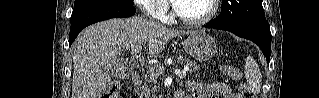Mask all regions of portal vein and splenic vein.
Masks as SVG:
<instances>
[{"label":"portal vein and splenic vein","instance_id":"1","mask_svg":"<svg viewBox=\"0 0 319 98\" xmlns=\"http://www.w3.org/2000/svg\"><path fill=\"white\" fill-rule=\"evenodd\" d=\"M142 46H136L131 50V54L136 56L138 53L142 51ZM149 69V72L153 75H159L161 73V70L158 66H146ZM188 70V67H185L183 70H176L175 73L178 77L184 78L186 76V71Z\"/></svg>","mask_w":319,"mask_h":98}]
</instances>
